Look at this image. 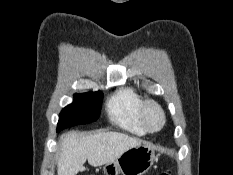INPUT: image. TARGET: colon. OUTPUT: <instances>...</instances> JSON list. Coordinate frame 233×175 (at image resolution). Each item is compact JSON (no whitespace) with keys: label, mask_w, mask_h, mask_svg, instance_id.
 Listing matches in <instances>:
<instances>
[{"label":"colon","mask_w":233,"mask_h":175,"mask_svg":"<svg viewBox=\"0 0 233 175\" xmlns=\"http://www.w3.org/2000/svg\"><path fill=\"white\" fill-rule=\"evenodd\" d=\"M161 175H172V170H166L163 173H161Z\"/></svg>","instance_id":"colon-1"}]
</instances>
